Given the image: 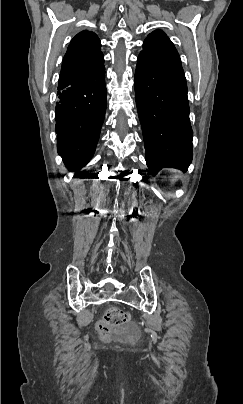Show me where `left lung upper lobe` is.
Returning <instances> with one entry per match:
<instances>
[{
	"instance_id": "1",
	"label": "left lung upper lobe",
	"mask_w": 243,
	"mask_h": 404,
	"mask_svg": "<svg viewBox=\"0 0 243 404\" xmlns=\"http://www.w3.org/2000/svg\"><path fill=\"white\" fill-rule=\"evenodd\" d=\"M140 54L146 55L156 62L182 68L176 48L161 30H156L148 35Z\"/></svg>"
}]
</instances>
